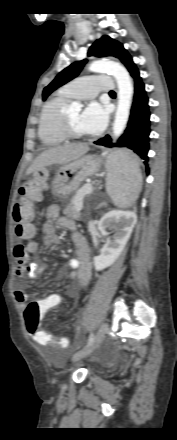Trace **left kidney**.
Listing matches in <instances>:
<instances>
[{"mask_svg":"<svg viewBox=\"0 0 177 440\" xmlns=\"http://www.w3.org/2000/svg\"><path fill=\"white\" fill-rule=\"evenodd\" d=\"M134 215L121 210H112L106 213L99 222V228L105 232L108 228H113L114 240L107 241L103 246L99 256L93 259L96 271H101L112 265L124 250L127 241L132 233Z\"/></svg>","mask_w":177,"mask_h":440,"instance_id":"1","label":"left kidney"}]
</instances>
